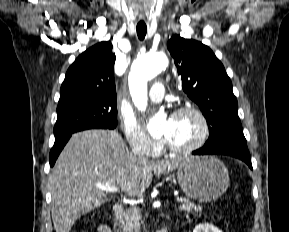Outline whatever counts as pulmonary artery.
I'll return each mask as SVG.
<instances>
[{
  "mask_svg": "<svg viewBox=\"0 0 289 232\" xmlns=\"http://www.w3.org/2000/svg\"><path fill=\"white\" fill-rule=\"evenodd\" d=\"M165 94L164 86L162 83L157 82L153 84L149 91V99L153 102H160Z\"/></svg>",
  "mask_w": 289,
  "mask_h": 232,
  "instance_id": "pulmonary-artery-1",
  "label": "pulmonary artery"
}]
</instances>
